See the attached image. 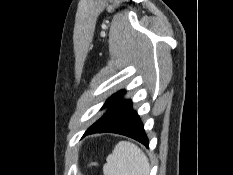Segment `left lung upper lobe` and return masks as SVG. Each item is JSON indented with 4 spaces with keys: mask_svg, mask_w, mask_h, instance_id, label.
<instances>
[{
    "mask_svg": "<svg viewBox=\"0 0 233 175\" xmlns=\"http://www.w3.org/2000/svg\"><path fill=\"white\" fill-rule=\"evenodd\" d=\"M125 93L124 90L119 91L115 95H113L111 98H109L106 103L103 105V108L107 106H112L123 94Z\"/></svg>",
    "mask_w": 233,
    "mask_h": 175,
    "instance_id": "5c2ea615",
    "label": "left lung upper lobe"
}]
</instances>
